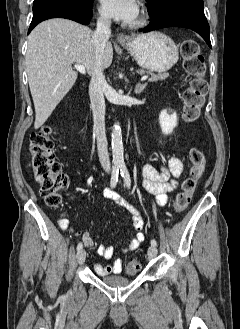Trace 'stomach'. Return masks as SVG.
<instances>
[{
	"label": "stomach",
	"mask_w": 240,
	"mask_h": 329,
	"mask_svg": "<svg viewBox=\"0 0 240 329\" xmlns=\"http://www.w3.org/2000/svg\"><path fill=\"white\" fill-rule=\"evenodd\" d=\"M125 48L140 67L153 72L161 73L169 70L179 58L175 43L160 32L133 37Z\"/></svg>",
	"instance_id": "stomach-1"
}]
</instances>
